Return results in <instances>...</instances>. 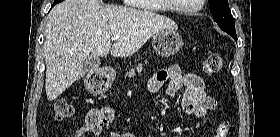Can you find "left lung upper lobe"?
I'll use <instances>...</instances> for the list:
<instances>
[{"label": "left lung upper lobe", "mask_w": 280, "mask_h": 137, "mask_svg": "<svg viewBox=\"0 0 280 137\" xmlns=\"http://www.w3.org/2000/svg\"><path fill=\"white\" fill-rule=\"evenodd\" d=\"M209 8L213 15V20L218 24L220 29L233 38H237L234 19L228 5V0H209Z\"/></svg>", "instance_id": "obj_1"}]
</instances>
